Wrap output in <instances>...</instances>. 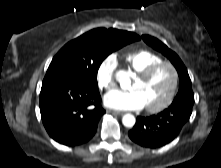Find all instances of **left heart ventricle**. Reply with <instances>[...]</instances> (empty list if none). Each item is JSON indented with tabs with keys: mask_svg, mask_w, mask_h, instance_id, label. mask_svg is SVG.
Wrapping results in <instances>:
<instances>
[{
	"mask_svg": "<svg viewBox=\"0 0 221 168\" xmlns=\"http://www.w3.org/2000/svg\"><path fill=\"white\" fill-rule=\"evenodd\" d=\"M172 72L167 66L160 67L147 80L136 77L132 89L138 90L145 102V106H155L161 103L168 95L172 85Z\"/></svg>",
	"mask_w": 221,
	"mask_h": 168,
	"instance_id": "left-heart-ventricle-1",
	"label": "left heart ventricle"
}]
</instances>
